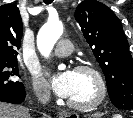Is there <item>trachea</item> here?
<instances>
[{"label":"trachea","instance_id":"1","mask_svg":"<svg viewBox=\"0 0 133 118\" xmlns=\"http://www.w3.org/2000/svg\"><path fill=\"white\" fill-rule=\"evenodd\" d=\"M44 2H45L46 4H50V3L52 2V0H44Z\"/></svg>","mask_w":133,"mask_h":118}]
</instances>
